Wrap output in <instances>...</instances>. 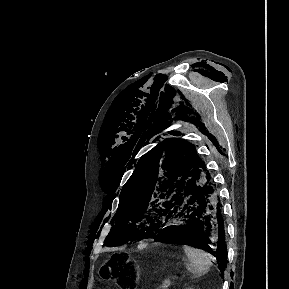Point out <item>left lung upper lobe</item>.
I'll use <instances>...</instances> for the list:
<instances>
[{"label":"left lung upper lobe","mask_w":289,"mask_h":289,"mask_svg":"<svg viewBox=\"0 0 289 289\" xmlns=\"http://www.w3.org/2000/svg\"><path fill=\"white\" fill-rule=\"evenodd\" d=\"M209 175L194 145L181 139L158 144L139 160L123 187L105 245L115 247L146 237L162 225L169 202L180 189Z\"/></svg>","instance_id":"left-lung-upper-lobe-1"}]
</instances>
